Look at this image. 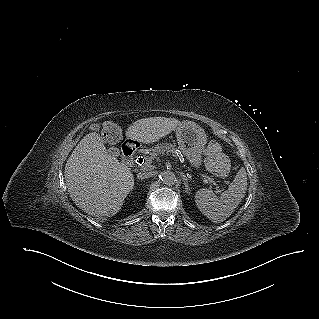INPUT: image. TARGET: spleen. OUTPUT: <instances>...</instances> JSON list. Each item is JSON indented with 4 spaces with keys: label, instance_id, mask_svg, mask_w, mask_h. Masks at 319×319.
<instances>
[{
    "label": "spleen",
    "instance_id": "obj_1",
    "mask_svg": "<svg viewBox=\"0 0 319 319\" xmlns=\"http://www.w3.org/2000/svg\"><path fill=\"white\" fill-rule=\"evenodd\" d=\"M247 190V175L244 168L236 174L228 190L217 197L212 190L200 189L195 202L198 209L214 223L225 221L243 200Z\"/></svg>",
    "mask_w": 319,
    "mask_h": 319
}]
</instances>
